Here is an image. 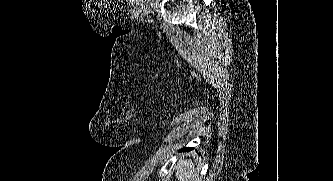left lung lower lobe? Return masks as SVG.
I'll list each match as a JSON object with an SVG mask.
<instances>
[{
    "mask_svg": "<svg viewBox=\"0 0 333 181\" xmlns=\"http://www.w3.org/2000/svg\"><path fill=\"white\" fill-rule=\"evenodd\" d=\"M189 149H191V148H183V149H181V151H186V150H189Z\"/></svg>",
    "mask_w": 333,
    "mask_h": 181,
    "instance_id": "obj_1",
    "label": "left lung lower lobe"
}]
</instances>
